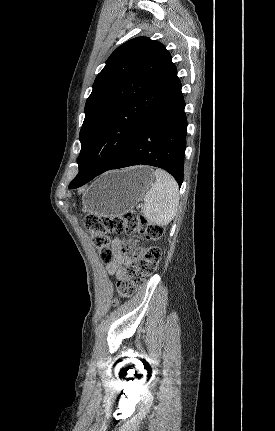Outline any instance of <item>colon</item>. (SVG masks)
Listing matches in <instances>:
<instances>
[{
    "label": "colon",
    "instance_id": "5ec220e1",
    "mask_svg": "<svg viewBox=\"0 0 275 431\" xmlns=\"http://www.w3.org/2000/svg\"><path fill=\"white\" fill-rule=\"evenodd\" d=\"M83 224L105 262H110L113 258V250L110 247V235L113 233H124L129 236L138 234L148 241H156L164 234L163 226L150 222L144 216L132 212L117 216L89 214L84 217ZM121 250L125 253L127 247L123 246ZM130 256V265L116 283L120 298L132 296L136 288L142 285L147 277L156 272L161 251L159 247L151 245L135 249Z\"/></svg>",
    "mask_w": 275,
    "mask_h": 431
}]
</instances>
